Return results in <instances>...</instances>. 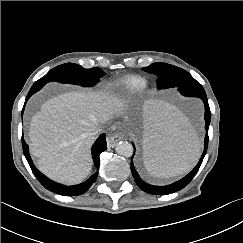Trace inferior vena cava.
<instances>
[{
	"label": "inferior vena cava",
	"instance_id": "1",
	"mask_svg": "<svg viewBox=\"0 0 243 243\" xmlns=\"http://www.w3.org/2000/svg\"><path fill=\"white\" fill-rule=\"evenodd\" d=\"M103 132V129L102 128H97L96 129V131L94 132V135L96 136V135H98V134H100V133H102Z\"/></svg>",
	"mask_w": 243,
	"mask_h": 243
}]
</instances>
